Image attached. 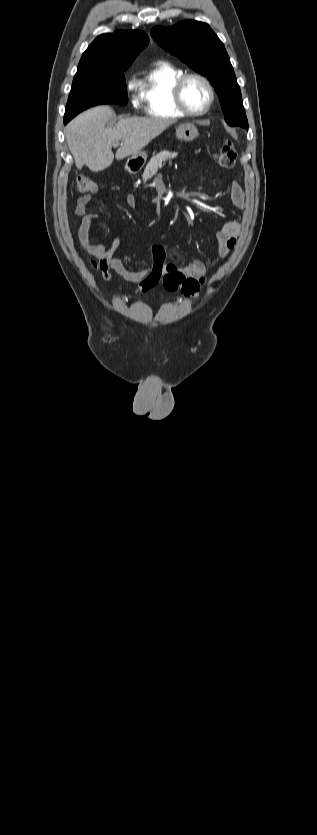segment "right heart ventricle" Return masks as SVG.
Masks as SVG:
<instances>
[{
  "label": "right heart ventricle",
  "instance_id": "1",
  "mask_svg": "<svg viewBox=\"0 0 317 835\" xmlns=\"http://www.w3.org/2000/svg\"><path fill=\"white\" fill-rule=\"evenodd\" d=\"M185 72L165 61L157 62L140 83V99L148 116L173 119L185 116L176 106L173 88Z\"/></svg>",
  "mask_w": 317,
  "mask_h": 835
}]
</instances>
